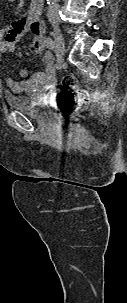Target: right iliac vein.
Segmentation results:
<instances>
[{
    "label": "right iliac vein",
    "instance_id": "right-iliac-vein-1",
    "mask_svg": "<svg viewBox=\"0 0 127 303\" xmlns=\"http://www.w3.org/2000/svg\"><path fill=\"white\" fill-rule=\"evenodd\" d=\"M52 27L54 30V38H55V49L59 58H61L65 53V43L63 35L59 28V23L57 20H52Z\"/></svg>",
    "mask_w": 127,
    "mask_h": 303
}]
</instances>
